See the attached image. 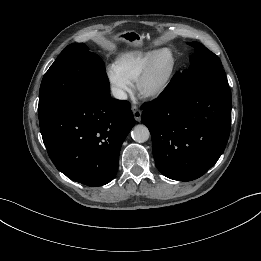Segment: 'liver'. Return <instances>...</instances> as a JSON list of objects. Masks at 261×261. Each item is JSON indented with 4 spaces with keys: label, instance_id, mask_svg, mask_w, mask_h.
Masks as SVG:
<instances>
[{
    "label": "liver",
    "instance_id": "1",
    "mask_svg": "<svg viewBox=\"0 0 261 261\" xmlns=\"http://www.w3.org/2000/svg\"><path fill=\"white\" fill-rule=\"evenodd\" d=\"M104 44H105V45H111V44H112V42H111V41H109V40H105V41H104Z\"/></svg>",
    "mask_w": 261,
    "mask_h": 261
}]
</instances>
